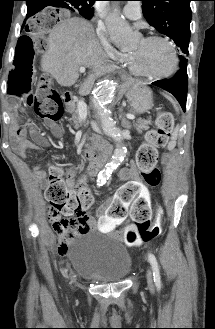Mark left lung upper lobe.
Returning a JSON list of instances; mask_svg holds the SVG:
<instances>
[{
  "mask_svg": "<svg viewBox=\"0 0 215 329\" xmlns=\"http://www.w3.org/2000/svg\"><path fill=\"white\" fill-rule=\"evenodd\" d=\"M142 11L148 23L161 34L170 37L181 49L186 60L190 41L191 0H141Z\"/></svg>",
  "mask_w": 215,
  "mask_h": 329,
  "instance_id": "left-lung-upper-lobe-1",
  "label": "left lung upper lobe"
}]
</instances>
